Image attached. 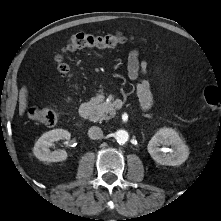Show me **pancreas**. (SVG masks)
Masks as SVG:
<instances>
[{
    "instance_id": "1",
    "label": "pancreas",
    "mask_w": 221,
    "mask_h": 221,
    "mask_svg": "<svg viewBox=\"0 0 221 221\" xmlns=\"http://www.w3.org/2000/svg\"><path fill=\"white\" fill-rule=\"evenodd\" d=\"M105 97L103 95H98L91 99L93 105V112L91 113L89 119L91 121H102L108 120L116 114V109L114 106V96L109 95V101H104Z\"/></svg>"
}]
</instances>
